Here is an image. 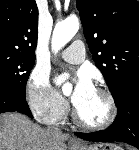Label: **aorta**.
<instances>
[{"instance_id": "aorta-1", "label": "aorta", "mask_w": 139, "mask_h": 150, "mask_svg": "<svg viewBox=\"0 0 139 150\" xmlns=\"http://www.w3.org/2000/svg\"><path fill=\"white\" fill-rule=\"evenodd\" d=\"M78 30L79 20L76 16H70L63 21L58 22L53 30L51 40L52 50L56 53L62 49L73 38ZM62 91L64 94L69 95L72 91L71 84H65Z\"/></svg>"}]
</instances>
